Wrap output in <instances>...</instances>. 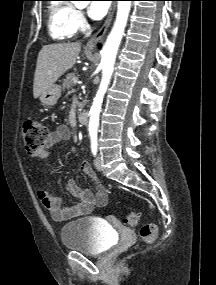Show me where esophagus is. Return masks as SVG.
I'll return each instance as SVG.
<instances>
[{
  "label": "esophagus",
  "mask_w": 216,
  "mask_h": 285,
  "mask_svg": "<svg viewBox=\"0 0 216 285\" xmlns=\"http://www.w3.org/2000/svg\"><path fill=\"white\" fill-rule=\"evenodd\" d=\"M115 8H116V4L112 3L109 11H108V15L107 18L103 24V26L97 31V33L88 41L87 43V48L92 49L96 46L97 43H99L104 35L106 34L108 27L113 19L114 16V12H115Z\"/></svg>",
  "instance_id": "obj_1"
}]
</instances>
